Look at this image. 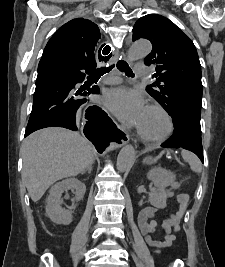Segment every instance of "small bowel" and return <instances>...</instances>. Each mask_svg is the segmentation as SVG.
<instances>
[{"label":"small bowel","instance_id":"small-bowel-1","mask_svg":"<svg viewBox=\"0 0 225 267\" xmlns=\"http://www.w3.org/2000/svg\"><path fill=\"white\" fill-rule=\"evenodd\" d=\"M182 198H187L188 195L185 193H180L177 196V206L178 209L169 212L161 222V228L164 233L163 240H155L153 234L159 224L156 219L158 215V209L155 207H146L140 214L139 217V227L146 241L151 246H156L159 248L169 247L173 241L176 239V233L179 230V221L184 213L185 209L180 208V201Z\"/></svg>","mask_w":225,"mask_h":267}]
</instances>
